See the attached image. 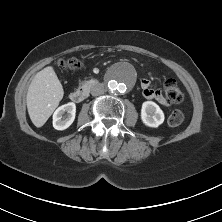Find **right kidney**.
<instances>
[{
  "label": "right kidney",
  "mask_w": 222,
  "mask_h": 222,
  "mask_svg": "<svg viewBox=\"0 0 222 222\" xmlns=\"http://www.w3.org/2000/svg\"><path fill=\"white\" fill-rule=\"evenodd\" d=\"M75 115L76 105L73 102L58 107L53 114V127L57 130L67 129L73 123Z\"/></svg>",
  "instance_id": "right-kidney-1"
}]
</instances>
